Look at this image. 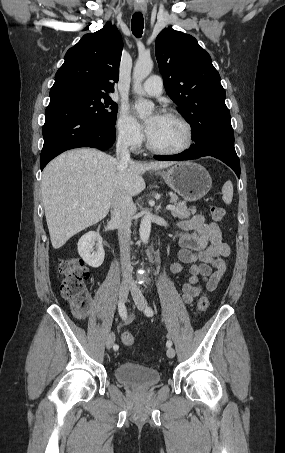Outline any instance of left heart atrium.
<instances>
[{
	"label": "left heart atrium",
	"instance_id": "39dd6f15",
	"mask_svg": "<svg viewBox=\"0 0 285 453\" xmlns=\"http://www.w3.org/2000/svg\"><path fill=\"white\" fill-rule=\"evenodd\" d=\"M157 117H158V115H154L151 120L146 122V131H147V133L150 132V130H151V128H152V126H153V124H154V122H155Z\"/></svg>",
	"mask_w": 285,
	"mask_h": 453
}]
</instances>
